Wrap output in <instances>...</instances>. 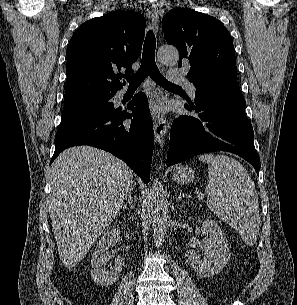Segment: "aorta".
Wrapping results in <instances>:
<instances>
[{"instance_id": "762f6f07", "label": "aorta", "mask_w": 297, "mask_h": 305, "mask_svg": "<svg viewBox=\"0 0 297 305\" xmlns=\"http://www.w3.org/2000/svg\"><path fill=\"white\" fill-rule=\"evenodd\" d=\"M158 59L164 65H175L179 60V52L174 47H161ZM150 205L153 227V243L160 247L164 241L168 225V206L162 183L158 178L153 180L150 193Z\"/></svg>"}]
</instances>
